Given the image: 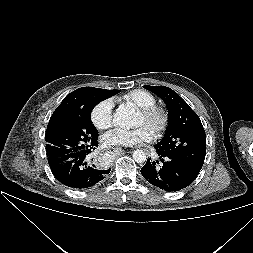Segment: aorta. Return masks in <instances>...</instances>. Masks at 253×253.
<instances>
[{"instance_id":"obj_1","label":"aorta","mask_w":253,"mask_h":253,"mask_svg":"<svg viewBox=\"0 0 253 253\" xmlns=\"http://www.w3.org/2000/svg\"><path fill=\"white\" fill-rule=\"evenodd\" d=\"M135 119V110L129 106L124 105L119 106L113 115L114 123L123 129L131 128L135 123ZM133 159L137 163H144L147 159V156L143 150L137 149L133 152Z\"/></svg>"}]
</instances>
